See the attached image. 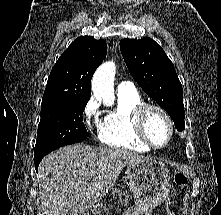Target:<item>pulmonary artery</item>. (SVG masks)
I'll use <instances>...</instances> for the list:
<instances>
[{
  "instance_id": "pulmonary-artery-1",
  "label": "pulmonary artery",
  "mask_w": 221,
  "mask_h": 215,
  "mask_svg": "<svg viewBox=\"0 0 221 215\" xmlns=\"http://www.w3.org/2000/svg\"><path fill=\"white\" fill-rule=\"evenodd\" d=\"M134 91V85L128 81H119L117 84V92H130Z\"/></svg>"
}]
</instances>
